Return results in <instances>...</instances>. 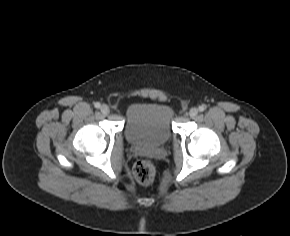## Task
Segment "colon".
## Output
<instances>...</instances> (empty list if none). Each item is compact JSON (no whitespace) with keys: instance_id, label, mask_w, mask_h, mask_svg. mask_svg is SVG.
<instances>
[{"instance_id":"obj_1","label":"colon","mask_w":290,"mask_h":236,"mask_svg":"<svg viewBox=\"0 0 290 236\" xmlns=\"http://www.w3.org/2000/svg\"><path fill=\"white\" fill-rule=\"evenodd\" d=\"M134 176L136 180L144 185L152 183L156 178V167L148 160H140L134 166Z\"/></svg>"}]
</instances>
